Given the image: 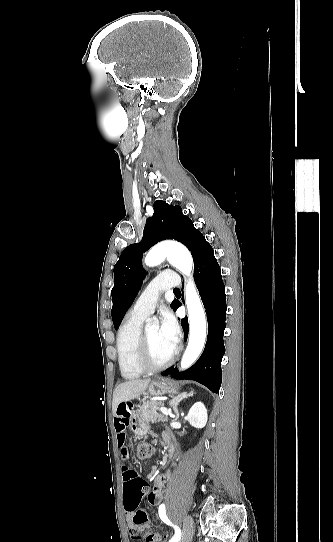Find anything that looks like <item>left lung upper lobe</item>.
<instances>
[{
  "instance_id": "5c2ea615",
  "label": "left lung upper lobe",
  "mask_w": 333,
  "mask_h": 542,
  "mask_svg": "<svg viewBox=\"0 0 333 542\" xmlns=\"http://www.w3.org/2000/svg\"><path fill=\"white\" fill-rule=\"evenodd\" d=\"M166 239H175L188 247L193 256L194 265L201 247L207 242L189 217L182 213L180 206H171L160 200L155 201L154 214L146 221L142 241L126 247L114 266L111 314L115 329L118 328L142 285L145 275L141 263L143 253L154 244ZM175 306L176 300L171 303L174 310Z\"/></svg>"
}]
</instances>
